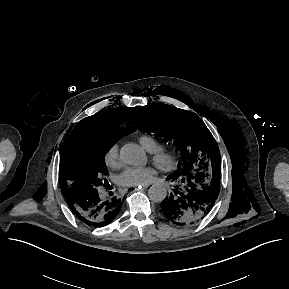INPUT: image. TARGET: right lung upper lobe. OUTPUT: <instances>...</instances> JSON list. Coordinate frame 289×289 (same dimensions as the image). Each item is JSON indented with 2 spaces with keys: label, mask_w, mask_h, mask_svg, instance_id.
Masks as SVG:
<instances>
[{
  "label": "right lung upper lobe",
  "mask_w": 289,
  "mask_h": 289,
  "mask_svg": "<svg viewBox=\"0 0 289 289\" xmlns=\"http://www.w3.org/2000/svg\"><path fill=\"white\" fill-rule=\"evenodd\" d=\"M135 110V107L125 106L117 109L109 108L81 120L61 146L63 152L61 154L60 176L63 169V158L77 139L85 134H97L106 131H116L124 135L132 133L137 129Z\"/></svg>",
  "instance_id": "1"
}]
</instances>
